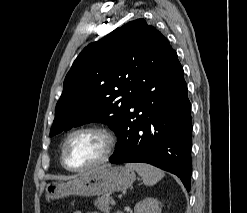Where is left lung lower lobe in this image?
<instances>
[{"label":"left lung lower lobe","instance_id":"left-lung-lower-lobe-1","mask_svg":"<svg viewBox=\"0 0 247 213\" xmlns=\"http://www.w3.org/2000/svg\"><path fill=\"white\" fill-rule=\"evenodd\" d=\"M191 104L175 51L150 69L118 133L111 163L144 162L177 175L190 191Z\"/></svg>","mask_w":247,"mask_h":213}]
</instances>
